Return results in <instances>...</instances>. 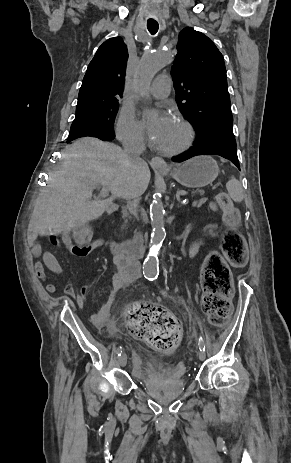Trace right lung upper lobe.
Listing matches in <instances>:
<instances>
[{
  "label": "right lung upper lobe",
  "instance_id": "cb5924a9",
  "mask_svg": "<svg viewBox=\"0 0 291 463\" xmlns=\"http://www.w3.org/2000/svg\"><path fill=\"white\" fill-rule=\"evenodd\" d=\"M127 46L121 37L110 38L89 63L78 95L76 116L118 102L122 97Z\"/></svg>",
  "mask_w": 291,
  "mask_h": 463
}]
</instances>
